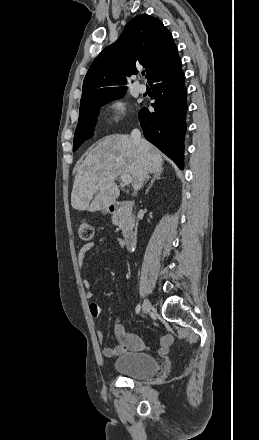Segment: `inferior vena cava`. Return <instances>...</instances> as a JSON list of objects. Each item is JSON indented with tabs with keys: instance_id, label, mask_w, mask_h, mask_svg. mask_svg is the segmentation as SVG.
Listing matches in <instances>:
<instances>
[{
	"instance_id": "obj_1",
	"label": "inferior vena cava",
	"mask_w": 259,
	"mask_h": 440,
	"mask_svg": "<svg viewBox=\"0 0 259 440\" xmlns=\"http://www.w3.org/2000/svg\"><path fill=\"white\" fill-rule=\"evenodd\" d=\"M131 137L133 139V141L137 144V145H141V133L138 129H134L131 133ZM148 175L147 172L144 171L143 176L141 178V185H143L144 181L147 179Z\"/></svg>"
}]
</instances>
